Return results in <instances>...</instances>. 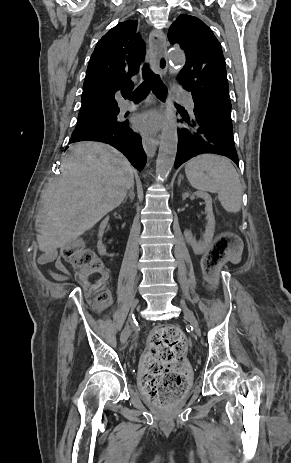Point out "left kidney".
I'll return each mask as SVG.
<instances>
[{
  "label": "left kidney",
  "mask_w": 291,
  "mask_h": 463,
  "mask_svg": "<svg viewBox=\"0 0 291 463\" xmlns=\"http://www.w3.org/2000/svg\"><path fill=\"white\" fill-rule=\"evenodd\" d=\"M197 197L203 199L205 201V214H206V219H207V225L205 228V233L203 235V239L201 241H196V239L193 237L192 232L189 230L184 231V236L186 239V242L192 247L193 251L195 254H202L204 253L209 244L212 241L213 235H214V229H215V217L213 214V209H212V198L211 196L203 191H197L194 193ZM189 193L185 192L182 194V199L185 200L186 198L189 197Z\"/></svg>",
  "instance_id": "obj_1"
}]
</instances>
